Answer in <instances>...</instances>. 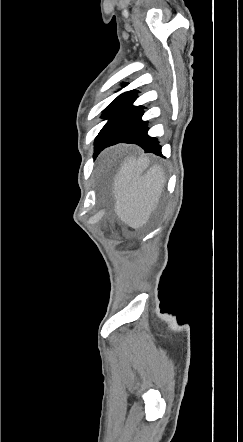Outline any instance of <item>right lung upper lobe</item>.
Returning <instances> with one entry per match:
<instances>
[{
    "label": "right lung upper lobe",
    "mask_w": 243,
    "mask_h": 442,
    "mask_svg": "<svg viewBox=\"0 0 243 442\" xmlns=\"http://www.w3.org/2000/svg\"><path fill=\"white\" fill-rule=\"evenodd\" d=\"M135 92H137V90H131V91H129V92H126V93L121 94L119 97H120V98H126V97L130 96L131 94H133V93H135Z\"/></svg>",
    "instance_id": "obj_1"
}]
</instances>
